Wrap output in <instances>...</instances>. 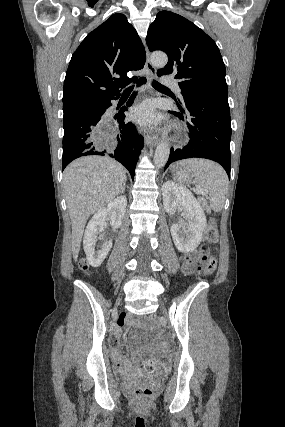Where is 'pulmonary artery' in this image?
<instances>
[{
  "instance_id": "1",
  "label": "pulmonary artery",
  "mask_w": 285,
  "mask_h": 427,
  "mask_svg": "<svg viewBox=\"0 0 285 427\" xmlns=\"http://www.w3.org/2000/svg\"><path fill=\"white\" fill-rule=\"evenodd\" d=\"M162 81L165 85L174 86L179 91L177 80H175L174 78H172L170 76H164L162 78Z\"/></svg>"
}]
</instances>
